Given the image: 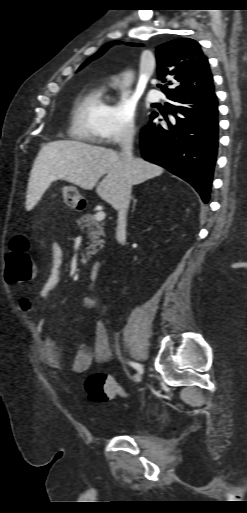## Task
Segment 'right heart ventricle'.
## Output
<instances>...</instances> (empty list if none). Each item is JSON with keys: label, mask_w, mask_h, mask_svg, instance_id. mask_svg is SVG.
I'll return each mask as SVG.
<instances>
[{"label": "right heart ventricle", "mask_w": 247, "mask_h": 513, "mask_svg": "<svg viewBox=\"0 0 247 513\" xmlns=\"http://www.w3.org/2000/svg\"><path fill=\"white\" fill-rule=\"evenodd\" d=\"M108 110L104 85H95L80 93L72 109L69 126L71 137L89 143H100Z\"/></svg>", "instance_id": "obj_1"}]
</instances>
